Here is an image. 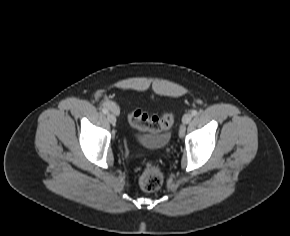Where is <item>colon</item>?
<instances>
[{"label":"colon","mask_w":290,"mask_h":236,"mask_svg":"<svg viewBox=\"0 0 290 236\" xmlns=\"http://www.w3.org/2000/svg\"><path fill=\"white\" fill-rule=\"evenodd\" d=\"M129 123L140 130L158 133L171 128L173 115L165 113L162 116H149L141 110H134L128 116ZM164 181L163 172L156 163H148L139 177L142 190L152 192L158 190Z\"/></svg>","instance_id":"colon-1"}]
</instances>
